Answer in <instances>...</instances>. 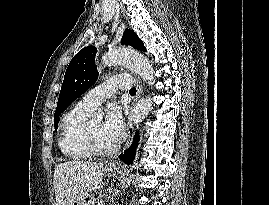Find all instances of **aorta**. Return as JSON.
I'll return each mask as SVG.
<instances>
[{"instance_id": "1", "label": "aorta", "mask_w": 269, "mask_h": 205, "mask_svg": "<svg viewBox=\"0 0 269 205\" xmlns=\"http://www.w3.org/2000/svg\"><path fill=\"white\" fill-rule=\"evenodd\" d=\"M102 62L105 65H126L149 84L155 82L152 64L144 55L137 51L126 48L109 50L103 56ZM152 104L153 102L150 96L139 100L131 112V121L136 124L142 122L152 109ZM120 175L121 182H123L126 176V169L120 172Z\"/></svg>"}]
</instances>
